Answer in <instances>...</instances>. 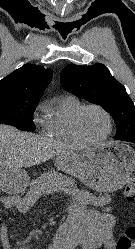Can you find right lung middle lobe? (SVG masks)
Here are the masks:
<instances>
[{
    "instance_id": "obj_1",
    "label": "right lung middle lobe",
    "mask_w": 135,
    "mask_h": 249,
    "mask_svg": "<svg viewBox=\"0 0 135 249\" xmlns=\"http://www.w3.org/2000/svg\"><path fill=\"white\" fill-rule=\"evenodd\" d=\"M38 99L0 95V124H10L19 130L35 131L33 112Z\"/></svg>"
}]
</instances>
